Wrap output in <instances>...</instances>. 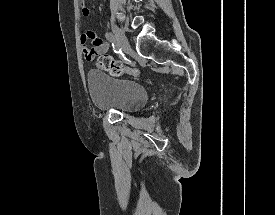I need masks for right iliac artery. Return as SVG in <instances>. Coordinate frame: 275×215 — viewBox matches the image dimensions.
Listing matches in <instances>:
<instances>
[{"label":"right iliac artery","instance_id":"82829eb1","mask_svg":"<svg viewBox=\"0 0 275 215\" xmlns=\"http://www.w3.org/2000/svg\"><path fill=\"white\" fill-rule=\"evenodd\" d=\"M106 38L112 43V46L114 48V52L115 53H120L121 52V48L118 45L115 37L111 34V33H106Z\"/></svg>","mask_w":275,"mask_h":215}]
</instances>
